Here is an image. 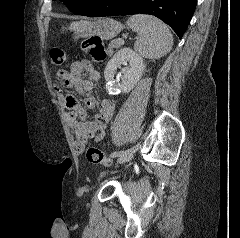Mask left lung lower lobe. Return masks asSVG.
<instances>
[{
  "label": "left lung lower lobe",
  "instance_id": "0a47b994",
  "mask_svg": "<svg viewBox=\"0 0 240 238\" xmlns=\"http://www.w3.org/2000/svg\"><path fill=\"white\" fill-rule=\"evenodd\" d=\"M197 0H94L78 15L105 17L149 14L166 22L181 39Z\"/></svg>",
  "mask_w": 240,
  "mask_h": 238
}]
</instances>
